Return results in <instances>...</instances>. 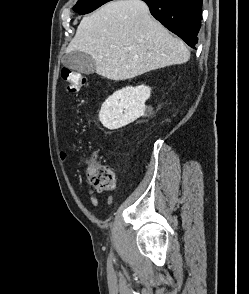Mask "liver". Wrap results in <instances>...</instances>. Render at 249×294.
I'll list each match as a JSON object with an SVG mask.
<instances>
[{
  "mask_svg": "<svg viewBox=\"0 0 249 294\" xmlns=\"http://www.w3.org/2000/svg\"><path fill=\"white\" fill-rule=\"evenodd\" d=\"M73 51L91 55L96 73L114 81L190 58L184 42L153 19L141 0L112 1L84 17L66 48Z\"/></svg>",
  "mask_w": 249,
  "mask_h": 294,
  "instance_id": "6515ba94",
  "label": "liver"
}]
</instances>
